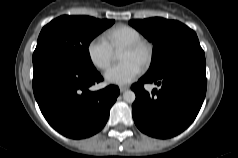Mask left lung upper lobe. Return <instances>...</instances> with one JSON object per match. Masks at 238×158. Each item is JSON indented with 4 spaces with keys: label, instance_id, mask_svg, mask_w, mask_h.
Segmentation results:
<instances>
[{
    "label": "left lung upper lobe",
    "instance_id": "1",
    "mask_svg": "<svg viewBox=\"0 0 238 158\" xmlns=\"http://www.w3.org/2000/svg\"><path fill=\"white\" fill-rule=\"evenodd\" d=\"M129 24L154 45L151 66L145 76L152 77L182 59L204 56L196 33L178 21L155 17L131 20Z\"/></svg>",
    "mask_w": 238,
    "mask_h": 158
}]
</instances>
